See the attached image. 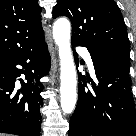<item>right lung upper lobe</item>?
<instances>
[{
  "label": "right lung upper lobe",
  "mask_w": 136,
  "mask_h": 136,
  "mask_svg": "<svg viewBox=\"0 0 136 136\" xmlns=\"http://www.w3.org/2000/svg\"><path fill=\"white\" fill-rule=\"evenodd\" d=\"M37 0H0V59L44 36Z\"/></svg>",
  "instance_id": "obj_1"
}]
</instances>
